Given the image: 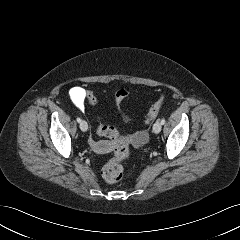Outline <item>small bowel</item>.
I'll list each match as a JSON object with an SVG mask.
<instances>
[{"mask_svg":"<svg viewBox=\"0 0 240 240\" xmlns=\"http://www.w3.org/2000/svg\"><path fill=\"white\" fill-rule=\"evenodd\" d=\"M69 96L73 104L80 110L85 107L86 90L83 87L76 86L70 89ZM135 137H141L145 139L144 133H138ZM90 146L99 153L109 152L113 148V142L110 141H96L94 139L89 140Z\"/></svg>","mask_w":240,"mask_h":240,"instance_id":"obj_1","label":"small bowel"}]
</instances>
